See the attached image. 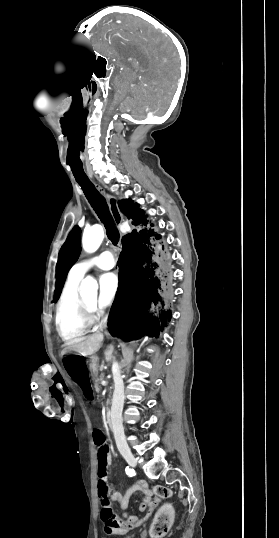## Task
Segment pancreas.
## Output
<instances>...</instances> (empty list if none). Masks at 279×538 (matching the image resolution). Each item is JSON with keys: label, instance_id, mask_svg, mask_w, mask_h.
Instances as JSON below:
<instances>
[{"label": "pancreas", "instance_id": "obj_1", "mask_svg": "<svg viewBox=\"0 0 279 538\" xmlns=\"http://www.w3.org/2000/svg\"><path fill=\"white\" fill-rule=\"evenodd\" d=\"M91 360H92V358H91ZM96 360H98V358H96ZM103 378H104V376H99V378H96V380H94L96 392H100L99 384H100V382H103Z\"/></svg>", "mask_w": 279, "mask_h": 538}]
</instances>
